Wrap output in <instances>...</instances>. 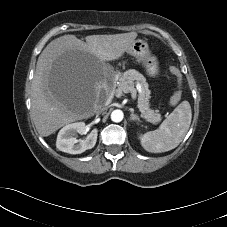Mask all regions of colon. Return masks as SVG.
<instances>
[{"instance_id": "colon-1", "label": "colon", "mask_w": 227, "mask_h": 227, "mask_svg": "<svg viewBox=\"0 0 227 227\" xmlns=\"http://www.w3.org/2000/svg\"><path fill=\"white\" fill-rule=\"evenodd\" d=\"M170 72L172 75H174L178 80L181 79V73L180 71L175 68V67H171L170 68ZM181 98V94H180V91H177L171 98V103L172 104H176Z\"/></svg>"}]
</instances>
